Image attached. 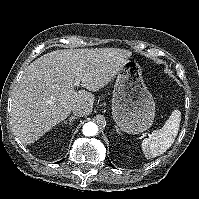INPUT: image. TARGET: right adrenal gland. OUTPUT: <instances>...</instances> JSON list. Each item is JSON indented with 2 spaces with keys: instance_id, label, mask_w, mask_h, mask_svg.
<instances>
[{
  "instance_id": "obj_1",
  "label": "right adrenal gland",
  "mask_w": 199,
  "mask_h": 199,
  "mask_svg": "<svg viewBox=\"0 0 199 199\" xmlns=\"http://www.w3.org/2000/svg\"><path fill=\"white\" fill-rule=\"evenodd\" d=\"M75 119H77V117H75V116H70L68 120L64 121V124L69 123V125L71 126L72 123H73V121H74Z\"/></svg>"
}]
</instances>
